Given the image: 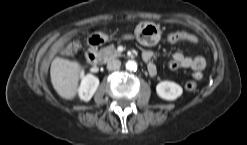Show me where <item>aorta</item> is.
Listing matches in <instances>:
<instances>
[{"label":"aorta","instance_id":"762f6f07","mask_svg":"<svg viewBox=\"0 0 247 145\" xmlns=\"http://www.w3.org/2000/svg\"><path fill=\"white\" fill-rule=\"evenodd\" d=\"M125 67L128 71H136L137 70V63L133 60H129L126 62Z\"/></svg>","mask_w":247,"mask_h":145}]
</instances>
